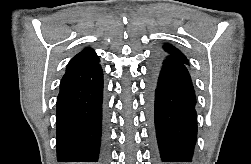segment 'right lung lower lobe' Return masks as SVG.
<instances>
[{"label": "right lung lower lobe", "mask_w": 251, "mask_h": 164, "mask_svg": "<svg viewBox=\"0 0 251 164\" xmlns=\"http://www.w3.org/2000/svg\"><path fill=\"white\" fill-rule=\"evenodd\" d=\"M102 102L103 73L99 63L65 73L57 98L59 162L105 163L107 131Z\"/></svg>", "instance_id": "1"}]
</instances>
